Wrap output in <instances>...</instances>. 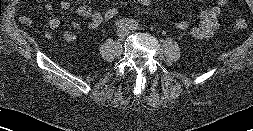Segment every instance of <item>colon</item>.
I'll list each match as a JSON object with an SVG mask.
<instances>
[{"mask_svg": "<svg viewBox=\"0 0 253 131\" xmlns=\"http://www.w3.org/2000/svg\"><path fill=\"white\" fill-rule=\"evenodd\" d=\"M134 3L143 5V6H150L156 2V0H132ZM125 6L123 3H115L112 6L108 7L106 10L103 11L104 20L107 22H113L118 19ZM247 27V20L244 14H240L233 23V29L235 30H243Z\"/></svg>", "mask_w": 253, "mask_h": 131, "instance_id": "colon-1", "label": "colon"}]
</instances>
